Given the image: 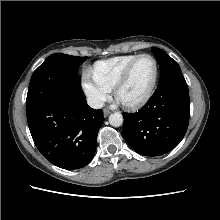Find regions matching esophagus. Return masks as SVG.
I'll return each instance as SVG.
<instances>
[{"instance_id": "esophagus-1", "label": "esophagus", "mask_w": 220, "mask_h": 220, "mask_svg": "<svg viewBox=\"0 0 220 220\" xmlns=\"http://www.w3.org/2000/svg\"><path fill=\"white\" fill-rule=\"evenodd\" d=\"M110 113H111L110 110H108V109H105V110H104V116H107V115H109Z\"/></svg>"}]
</instances>
